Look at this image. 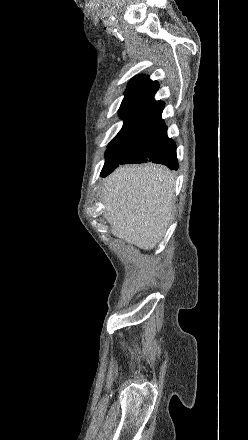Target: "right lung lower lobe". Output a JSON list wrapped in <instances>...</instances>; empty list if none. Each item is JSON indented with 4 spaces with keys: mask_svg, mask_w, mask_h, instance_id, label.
Listing matches in <instances>:
<instances>
[{
    "mask_svg": "<svg viewBox=\"0 0 248 440\" xmlns=\"http://www.w3.org/2000/svg\"><path fill=\"white\" fill-rule=\"evenodd\" d=\"M145 162L163 164L172 170L178 169L176 145L167 137V127L161 118V113L142 124L130 135L120 164Z\"/></svg>",
    "mask_w": 248,
    "mask_h": 440,
    "instance_id": "obj_1",
    "label": "right lung lower lobe"
}]
</instances>
